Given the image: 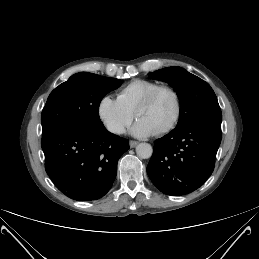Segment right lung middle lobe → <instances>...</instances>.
<instances>
[{"label":"right lung middle lobe","mask_w":259,"mask_h":259,"mask_svg":"<svg viewBox=\"0 0 259 259\" xmlns=\"http://www.w3.org/2000/svg\"><path fill=\"white\" fill-rule=\"evenodd\" d=\"M122 81L115 78L80 72L55 88L42 111L43 134L62 127H102L99 105L110 91L119 88Z\"/></svg>","instance_id":"right-lung-middle-lobe-1"}]
</instances>
